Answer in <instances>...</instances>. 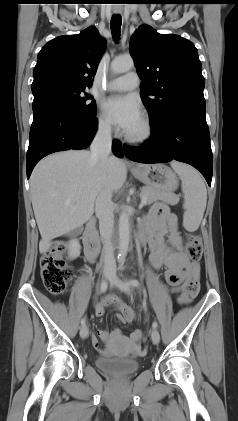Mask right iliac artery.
<instances>
[{"label":"right iliac artery","instance_id":"right-iliac-artery-1","mask_svg":"<svg viewBox=\"0 0 238 421\" xmlns=\"http://www.w3.org/2000/svg\"><path fill=\"white\" fill-rule=\"evenodd\" d=\"M107 287H108L107 281L106 280H103L102 283H101V286H100L99 293H104L107 290ZM85 323H86V319L85 318H82L81 325L84 326Z\"/></svg>","mask_w":238,"mask_h":421}]
</instances>
